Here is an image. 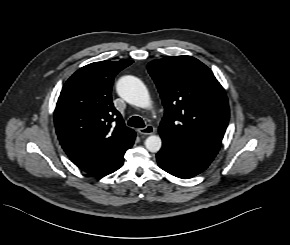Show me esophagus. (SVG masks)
Returning a JSON list of instances; mask_svg holds the SVG:
<instances>
[{
    "mask_svg": "<svg viewBox=\"0 0 290 245\" xmlns=\"http://www.w3.org/2000/svg\"><path fill=\"white\" fill-rule=\"evenodd\" d=\"M138 132L143 135H151L155 132V128L152 125H147L144 128H140Z\"/></svg>",
    "mask_w": 290,
    "mask_h": 245,
    "instance_id": "obj_1",
    "label": "esophagus"
}]
</instances>
